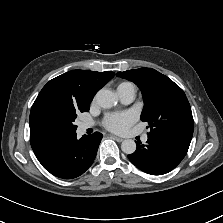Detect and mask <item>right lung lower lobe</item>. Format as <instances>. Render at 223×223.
I'll return each instance as SVG.
<instances>
[{"label": "right lung lower lobe", "instance_id": "98d812e1", "mask_svg": "<svg viewBox=\"0 0 223 223\" xmlns=\"http://www.w3.org/2000/svg\"><path fill=\"white\" fill-rule=\"evenodd\" d=\"M102 134L95 132L77 139L76 133L35 152L42 166L54 176L72 179L83 174L93 163Z\"/></svg>", "mask_w": 223, "mask_h": 223}]
</instances>
